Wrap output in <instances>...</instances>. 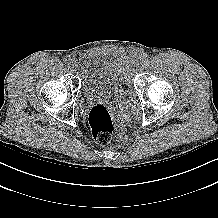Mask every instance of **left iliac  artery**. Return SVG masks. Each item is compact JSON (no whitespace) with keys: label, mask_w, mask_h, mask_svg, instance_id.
<instances>
[{"label":"left iliac artery","mask_w":218,"mask_h":218,"mask_svg":"<svg viewBox=\"0 0 218 218\" xmlns=\"http://www.w3.org/2000/svg\"><path fill=\"white\" fill-rule=\"evenodd\" d=\"M148 58H149V56L147 53H143L141 55V60L144 61V63L148 61Z\"/></svg>","instance_id":"obj_1"}]
</instances>
